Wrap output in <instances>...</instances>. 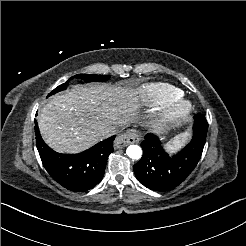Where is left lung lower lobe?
Returning <instances> with one entry per match:
<instances>
[{"label": "left lung lower lobe", "mask_w": 246, "mask_h": 246, "mask_svg": "<svg viewBox=\"0 0 246 246\" xmlns=\"http://www.w3.org/2000/svg\"><path fill=\"white\" fill-rule=\"evenodd\" d=\"M194 119L191 142L173 156L165 152L157 136H145L141 142L143 156L133 166L140 183L151 190L163 192L177 187L189 176L200 160L208 130L203 115H195Z\"/></svg>", "instance_id": "left-lung-lower-lobe-1"}]
</instances>
